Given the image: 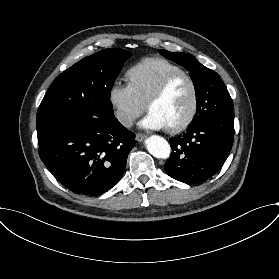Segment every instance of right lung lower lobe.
Masks as SVG:
<instances>
[{
	"label": "right lung lower lobe",
	"instance_id": "obj_1",
	"mask_svg": "<svg viewBox=\"0 0 279 279\" xmlns=\"http://www.w3.org/2000/svg\"><path fill=\"white\" fill-rule=\"evenodd\" d=\"M39 155L69 190L96 196L121 179L135 135L115 117L50 118L37 127Z\"/></svg>",
	"mask_w": 279,
	"mask_h": 279
}]
</instances>
